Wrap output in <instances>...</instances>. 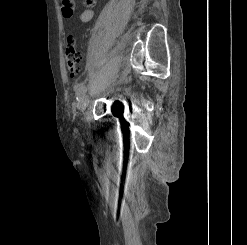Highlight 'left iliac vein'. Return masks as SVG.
<instances>
[{
    "instance_id": "4c4485c4",
    "label": "left iliac vein",
    "mask_w": 247,
    "mask_h": 245,
    "mask_svg": "<svg viewBox=\"0 0 247 245\" xmlns=\"http://www.w3.org/2000/svg\"><path fill=\"white\" fill-rule=\"evenodd\" d=\"M89 104V98L87 96H84L79 103V110L81 111V113H84L85 110L87 109V106Z\"/></svg>"
}]
</instances>
